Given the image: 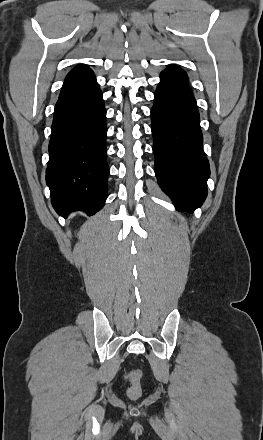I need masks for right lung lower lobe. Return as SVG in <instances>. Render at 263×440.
Listing matches in <instances>:
<instances>
[{
  "label": "right lung lower lobe",
  "instance_id": "obj_1",
  "mask_svg": "<svg viewBox=\"0 0 263 440\" xmlns=\"http://www.w3.org/2000/svg\"><path fill=\"white\" fill-rule=\"evenodd\" d=\"M106 110L93 71L64 81L55 106L46 182L58 214L89 215L107 198Z\"/></svg>",
  "mask_w": 263,
  "mask_h": 440
}]
</instances>
